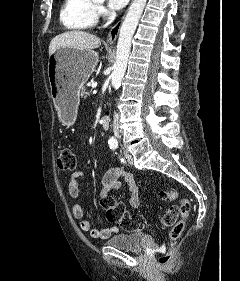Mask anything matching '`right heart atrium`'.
Masks as SVG:
<instances>
[{"label": "right heart atrium", "instance_id": "right-heart-atrium-1", "mask_svg": "<svg viewBox=\"0 0 240 281\" xmlns=\"http://www.w3.org/2000/svg\"><path fill=\"white\" fill-rule=\"evenodd\" d=\"M106 12V10L103 7L99 8V13L104 14Z\"/></svg>", "mask_w": 240, "mask_h": 281}]
</instances>
